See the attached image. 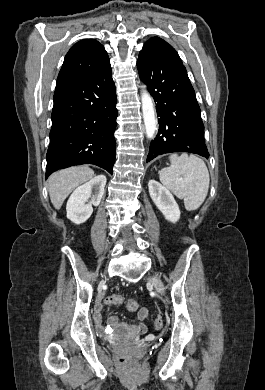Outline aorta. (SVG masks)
<instances>
[{"label":"aorta","mask_w":265,"mask_h":390,"mask_svg":"<svg viewBox=\"0 0 265 390\" xmlns=\"http://www.w3.org/2000/svg\"><path fill=\"white\" fill-rule=\"evenodd\" d=\"M141 101L146 134L148 138H152L157 130V119L152 98L145 88L141 93Z\"/></svg>","instance_id":"obj_1"}]
</instances>
